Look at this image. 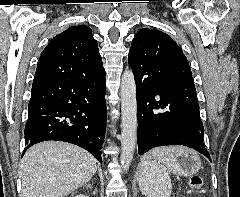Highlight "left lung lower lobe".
<instances>
[{
	"label": "left lung lower lobe",
	"mask_w": 240,
	"mask_h": 197,
	"mask_svg": "<svg viewBox=\"0 0 240 197\" xmlns=\"http://www.w3.org/2000/svg\"><path fill=\"white\" fill-rule=\"evenodd\" d=\"M137 87L138 150L144 154L157 146L183 145L210 161L194 82L133 72Z\"/></svg>",
	"instance_id": "left-lung-lower-lobe-1"
}]
</instances>
